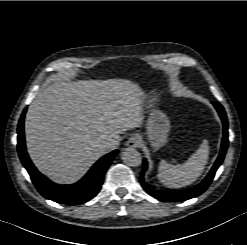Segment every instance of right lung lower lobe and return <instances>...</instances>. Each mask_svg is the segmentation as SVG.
Returning <instances> with one entry per match:
<instances>
[{"label":"right lung lower lobe","instance_id":"1","mask_svg":"<svg viewBox=\"0 0 247 245\" xmlns=\"http://www.w3.org/2000/svg\"><path fill=\"white\" fill-rule=\"evenodd\" d=\"M25 113L26 108L24 109L18 124V153L21 162L27 169L38 192L47 199L67 205L85 203L94 198L98 194L103 182L104 174L112 163L113 158L118 153V150H114L99 159L91 167L89 172L77 183L72 185L55 184L35 168L27 154L23 127Z\"/></svg>","mask_w":247,"mask_h":245}]
</instances>
